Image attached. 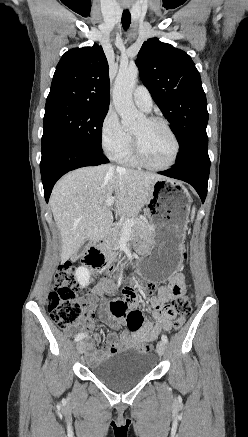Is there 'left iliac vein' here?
Returning a JSON list of instances; mask_svg holds the SVG:
<instances>
[{"label": "left iliac vein", "instance_id": "left-iliac-vein-1", "mask_svg": "<svg viewBox=\"0 0 248 437\" xmlns=\"http://www.w3.org/2000/svg\"><path fill=\"white\" fill-rule=\"evenodd\" d=\"M165 350H166L165 342H163V341H159L158 344H157V353H158L160 356H162V355H164Z\"/></svg>", "mask_w": 248, "mask_h": 437}]
</instances>
